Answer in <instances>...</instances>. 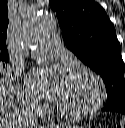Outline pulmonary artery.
<instances>
[{
  "mask_svg": "<svg viewBox=\"0 0 125 128\" xmlns=\"http://www.w3.org/2000/svg\"><path fill=\"white\" fill-rule=\"evenodd\" d=\"M63 47L58 38L52 37L46 41L44 45L38 49L31 51L30 56L36 60H45L51 58H58L63 54Z\"/></svg>",
  "mask_w": 125,
  "mask_h": 128,
  "instance_id": "e3ab8cb5",
  "label": "pulmonary artery"
}]
</instances>
